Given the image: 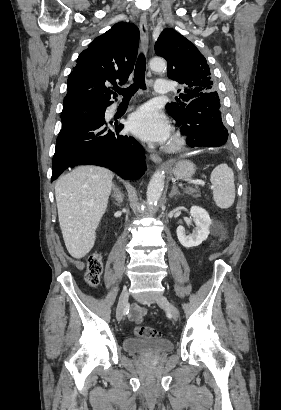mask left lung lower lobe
<instances>
[{
	"label": "left lung lower lobe",
	"instance_id": "obj_1",
	"mask_svg": "<svg viewBox=\"0 0 281 410\" xmlns=\"http://www.w3.org/2000/svg\"><path fill=\"white\" fill-rule=\"evenodd\" d=\"M190 147H218L228 139L221 120L219 97H199L191 101L185 118L177 123Z\"/></svg>",
	"mask_w": 281,
	"mask_h": 410
}]
</instances>
